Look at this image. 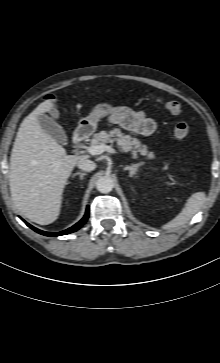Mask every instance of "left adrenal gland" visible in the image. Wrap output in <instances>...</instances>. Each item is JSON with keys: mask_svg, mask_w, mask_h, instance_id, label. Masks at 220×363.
<instances>
[{"mask_svg": "<svg viewBox=\"0 0 220 363\" xmlns=\"http://www.w3.org/2000/svg\"><path fill=\"white\" fill-rule=\"evenodd\" d=\"M138 167H139L138 163L137 164H132L131 166H125L124 170L129 171V174L132 177L134 174L137 173Z\"/></svg>", "mask_w": 220, "mask_h": 363, "instance_id": "left-adrenal-gland-1", "label": "left adrenal gland"}]
</instances>
